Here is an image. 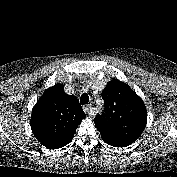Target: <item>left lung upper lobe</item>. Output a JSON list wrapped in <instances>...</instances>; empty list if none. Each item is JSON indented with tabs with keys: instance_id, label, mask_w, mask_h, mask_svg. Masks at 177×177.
I'll return each instance as SVG.
<instances>
[{
	"instance_id": "obj_1",
	"label": "left lung upper lobe",
	"mask_w": 177,
	"mask_h": 177,
	"mask_svg": "<svg viewBox=\"0 0 177 177\" xmlns=\"http://www.w3.org/2000/svg\"><path fill=\"white\" fill-rule=\"evenodd\" d=\"M105 108L94 119L105 143L125 147L140 137L147 123L142 99L124 82L113 79L102 91Z\"/></svg>"
}]
</instances>
